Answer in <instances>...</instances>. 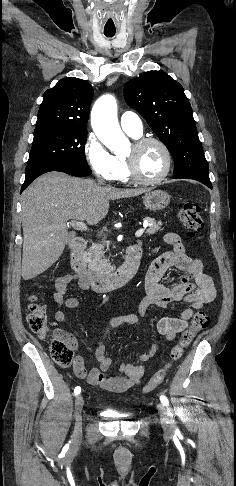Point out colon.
<instances>
[{
	"mask_svg": "<svg viewBox=\"0 0 236 486\" xmlns=\"http://www.w3.org/2000/svg\"><path fill=\"white\" fill-rule=\"evenodd\" d=\"M179 219L191 237L194 238L202 232L204 222L201 216V208L197 203L191 201L183 203L179 210ZM27 322L30 329L41 338L49 337L50 330L47 323L46 309L34 296L30 299ZM208 324L209 316L206 312L199 311L193 316L190 328L182 333L178 343L173 347L170 360L143 387L144 393L153 391L163 382L168 371L182 357L185 348L191 344L198 331L207 327ZM50 350L53 360L59 366L69 367L72 364L74 358L72 347L55 332L51 340Z\"/></svg>",
	"mask_w": 236,
	"mask_h": 486,
	"instance_id": "5ec220e1",
	"label": "colon"
}]
</instances>
